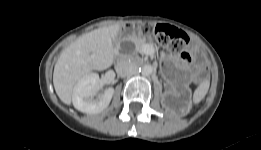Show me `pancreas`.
I'll use <instances>...</instances> for the list:
<instances>
[{"label":"pancreas","mask_w":261,"mask_h":150,"mask_svg":"<svg viewBox=\"0 0 261 150\" xmlns=\"http://www.w3.org/2000/svg\"><path fill=\"white\" fill-rule=\"evenodd\" d=\"M149 44L152 47V50L154 52V48L153 45L151 44V42H147V40L145 38H138L135 40V44L137 46L138 51L143 54V47L145 44ZM152 55V54H151Z\"/></svg>","instance_id":"pancreas-1"}]
</instances>
